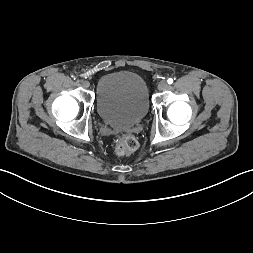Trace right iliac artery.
<instances>
[{
	"label": "right iliac artery",
	"mask_w": 253,
	"mask_h": 253,
	"mask_svg": "<svg viewBox=\"0 0 253 253\" xmlns=\"http://www.w3.org/2000/svg\"><path fill=\"white\" fill-rule=\"evenodd\" d=\"M76 81H77V82H82V80H81V79H77Z\"/></svg>",
	"instance_id": "right-iliac-artery-1"
}]
</instances>
